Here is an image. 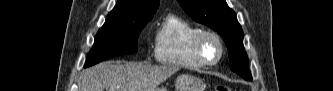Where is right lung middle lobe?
<instances>
[{
  "mask_svg": "<svg viewBox=\"0 0 333 91\" xmlns=\"http://www.w3.org/2000/svg\"><path fill=\"white\" fill-rule=\"evenodd\" d=\"M151 18L133 21H106L95 37L84 67L97 64L108 58L131 54L137 51L140 32Z\"/></svg>",
  "mask_w": 333,
  "mask_h": 91,
  "instance_id": "1",
  "label": "right lung middle lobe"
}]
</instances>
